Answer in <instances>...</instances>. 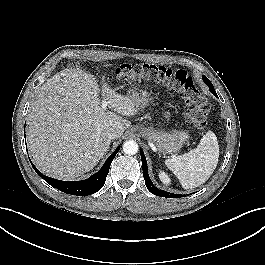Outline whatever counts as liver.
<instances>
[{
  "label": "liver",
  "instance_id": "obj_1",
  "mask_svg": "<svg viewBox=\"0 0 265 265\" xmlns=\"http://www.w3.org/2000/svg\"><path fill=\"white\" fill-rule=\"evenodd\" d=\"M100 91L112 111L101 110ZM139 103L81 68L64 69L38 90L27 117L28 147L35 165L59 180H74L92 170L108 152L109 130L117 138L130 126Z\"/></svg>",
  "mask_w": 265,
  "mask_h": 265
}]
</instances>
